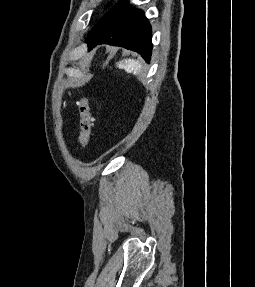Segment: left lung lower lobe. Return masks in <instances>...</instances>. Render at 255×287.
<instances>
[{"label": "left lung lower lobe", "instance_id": "obj_1", "mask_svg": "<svg viewBox=\"0 0 255 287\" xmlns=\"http://www.w3.org/2000/svg\"><path fill=\"white\" fill-rule=\"evenodd\" d=\"M129 0H120L88 33L89 50L107 43L136 51L149 62L152 51L151 25L141 9L132 7Z\"/></svg>", "mask_w": 255, "mask_h": 287}]
</instances>
